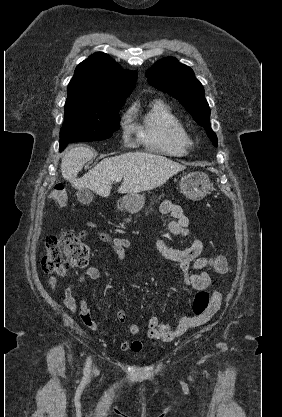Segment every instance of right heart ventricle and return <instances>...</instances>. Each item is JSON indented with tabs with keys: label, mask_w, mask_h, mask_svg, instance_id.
Listing matches in <instances>:
<instances>
[{
	"label": "right heart ventricle",
	"mask_w": 282,
	"mask_h": 417,
	"mask_svg": "<svg viewBox=\"0 0 282 417\" xmlns=\"http://www.w3.org/2000/svg\"><path fill=\"white\" fill-rule=\"evenodd\" d=\"M130 115L135 119L134 127L139 140L147 148L166 154L182 152V129L177 118L163 101H154L141 116L139 108L133 107Z\"/></svg>",
	"instance_id": "e07e8e85"
}]
</instances>
